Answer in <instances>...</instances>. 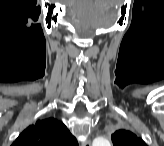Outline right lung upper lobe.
<instances>
[{
  "label": "right lung upper lobe",
  "instance_id": "obj_1",
  "mask_svg": "<svg viewBox=\"0 0 164 146\" xmlns=\"http://www.w3.org/2000/svg\"><path fill=\"white\" fill-rule=\"evenodd\" d=\"M77 140L60 121L50 117L26 128L12 146H76Z\"/></svg>",
  "mask_w": 164,
  "mask_h": 146
}]
</instances>
